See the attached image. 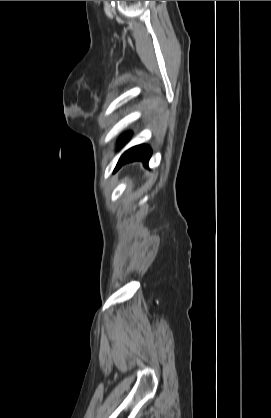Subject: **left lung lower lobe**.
Segmentation results:
<instances>
[{
  "mask_svg": "<svg viewBox=\"0 0 271 418\" xmlns=\"http://www.w3.org/2000/svg\"><path fill=\"white\" fill-rule=\"evenodd\" d=\"M129 139V135H124L120 138L119 143L123 144ZM151 157V149L147 145H138L127 150L119 159L115 171L123 164L133 161H143L145 165Z\"/></svg>",
  "mask_w": 271,
  "mask_h": 418,
  "instance_id": "obj_1",
  "label": "left lung lower lobe"
}]
</instances>
